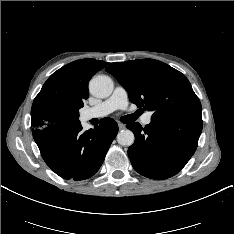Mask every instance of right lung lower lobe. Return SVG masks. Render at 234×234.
Listing matches in <instances>:
<instances>
[{
	"mask_svg": "<svg viewBox=\"0 0 234 234\" xmlns=\"http://www.w3.org/2000/svg\"><path fill=\"white\" fill-rule=\"evenodd\" d=\"M32 133L49 168L62 178L78 181L99 170L118 133V125L106 117L88 131H83L78 121L49 125Z\"/></svg>",
	"mask_w": 234,
	"mask_h": 234,
	"instance_id": "98d812e1",
	"label": "right lung lower lobe"
}]
</instances>
